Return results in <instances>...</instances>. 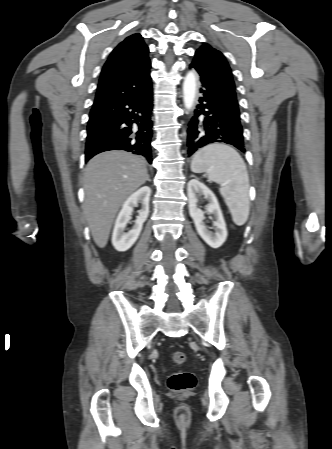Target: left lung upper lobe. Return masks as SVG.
Masks as SVG:
<instances>
[{
    "label": "left lung upper lobe",
    "mask_w": 332,
    "mask_h": 449,
    "mask_svg": "<svg viewBox=\"0 0 332 449\" xmlns=\"http://www.w3.org/2000/svg\"><path fill=\"white\" fill-rule=\"evenodd\" d=\"M192 64L213 73L223 82L235 89L232 72L223 54L204 43L195 53Z\"/></svg>",
    "instance_id": "obj_1"
}]
</instances>
